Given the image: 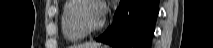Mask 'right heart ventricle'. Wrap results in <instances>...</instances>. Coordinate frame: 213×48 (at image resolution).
Segmentation results:
<instances>
[{
	"mask_svg": "<svg viewBox=\"0 0 213 48\" xmlns=\"http://www.w3.org/2000/svg\"><path fill=\"white\" fill-rule=\"evenodd\" d=\"M78 0H66L61 11V30L64 38L69 42H78L85 38L72 18V11Z\"/></svg>",
	"mask_w": 213,
	"mask_h": 48,
	"instance_id": "obj_1",
	"label": "right heart ventricle"
}]
</instances>
